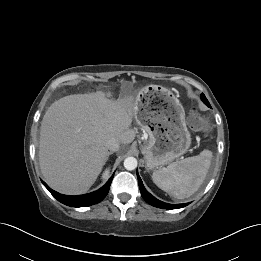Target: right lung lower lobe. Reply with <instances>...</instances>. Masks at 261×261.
<instances>
[{"mask_svg": "<svg viewBox=\"0 0 261 261\" xmlns=\"http://www.w3.org/2000/svg\"><path fill=\"white\" fill-rule=\"evenodd\" d=\"M113 176L114 175H112V177L108 180V182L99 190L89 194L78 195V196H68V195L60 194L52 190L51 188H49L44 181H42V183L50 191V193L61 203L72 207H82V206L94 205L102 201L108 194Z\"/></svg>", "mask_w": 261, "mask_h": 261, "instance_id": "obj_1", "label": "right lung lower lobe"}]
</instances>
